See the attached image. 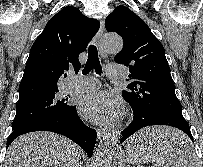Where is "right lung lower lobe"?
<instances>
[{
  "label": "right lung lower lobe",
  "mask_w": 203,
  "mask_h": 167,
  "mask_svg": "<svg viewBox=\"0 0 203 167\" xmlns=\"http://www.w3.org/2000/svg\"><path fill=\"white\" fill-rule=\"evenodd\" d=\"M33 131H51L64 135L81 146L88 157L92 156L97 138L96 131L82 122L77 114L76 107L73 106L66 113L40 119L13 130L7 139V146L19 135Z\"/></svg>",
  "instance_id": "right-lung-lower-lobe-1"
}]
</instances>
